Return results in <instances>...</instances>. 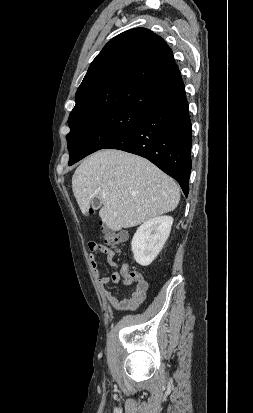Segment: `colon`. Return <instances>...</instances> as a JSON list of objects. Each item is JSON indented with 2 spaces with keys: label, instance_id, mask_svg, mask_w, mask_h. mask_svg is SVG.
I'll use <instances>...</instances> for the list:
<instances>
[{
  "label": "colon",
  "instance_id": "colon-1",
  "mask_svg": "<svg viewBox=\"0 0 253 413\" xmlns=\"http://www.w3.org/2000/svg\"><path fill=\"white\" fill-rule=\"evenodd\" d=\"M94 211L92 209L89 210V213L92 214ZM102 233H103V239L104 242L112 247V248H117L119 245H121L125 239L126 235L121 232H116L114 230H111L110 228L103 226L102 227ZM128 273L135 279L137 280H144L142 275L135 272V271H129Z\"/></svg>",
  "mask_w": 253,
  "mask_h": 413
}]
</instances>
